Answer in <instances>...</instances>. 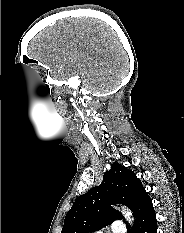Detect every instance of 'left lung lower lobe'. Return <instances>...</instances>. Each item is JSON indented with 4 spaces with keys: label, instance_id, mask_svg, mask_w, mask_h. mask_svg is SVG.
<instances>
[{
    "label": "left lung lower lobe",
    "instance_id": "obj_1",
    "mask_svg": "<svg viewBox=\"0 0 184 233\" xmlns=\"http://www.w3.org/2000/svg\"><path fill=\"white\" fill-rule=\"evenodd\" d=\"M133 215L135 217V225L131 229L129 228L127 233H157L156 214L147 193L135 206Z\"/></svg>",
    "mask_w": 184,
    "mask_h": 233
}]
</instances>
